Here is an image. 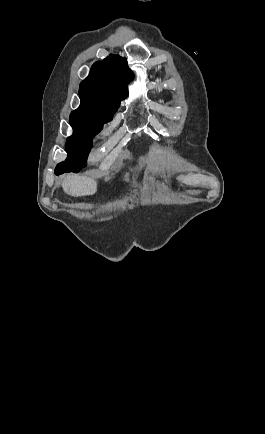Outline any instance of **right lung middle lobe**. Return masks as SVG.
I'll list each match as a JSON object with an SVG mask.
<instances>
[{
	"label": "right lung middle lobe",
	"mask_w": 265,
	"mask_h": 434,
	"mask_svg": "<svg viewBox=\"0 0 265 434\" xmlns=\"http://www.w3.org/2000/svg\"><path fill=\"white\" fill-rule=\"evenodd\" d=\"M81 104L70 116L74 134L68 138L66 150L68 158L59 163L56 169L78 172L85 166L94 137L110 121L119 107L118 102L110 101L98 94L80 92Z\"/></svg>",
	"instance_id": "1"
}]
</instances>
